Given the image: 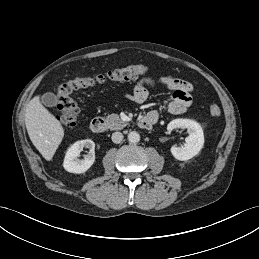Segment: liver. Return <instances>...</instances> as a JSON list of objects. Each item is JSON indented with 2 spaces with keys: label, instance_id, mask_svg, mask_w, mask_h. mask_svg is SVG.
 <instances>
[{
  "label": "liver",
  "instance_id": "liver-1",
  "mask_svg": "<svg viewBox=\"0 0 259 259\" xmlns=\"http://www.w3.org/2000/svg\"><path fill=\"white\" fill-rule=\"evenodd\" d=\"M25 125L33 145L50 161L62 142L64 129L55 116L42 105L39 95L27 104Z\"/></svg>",
  "mask_w": 259,
  "mask_h": 259
}]
</instances>
